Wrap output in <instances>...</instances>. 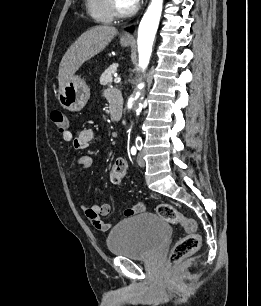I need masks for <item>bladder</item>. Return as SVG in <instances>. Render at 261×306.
Returning a JSON list of instances; mask_svg holds the SVG:
<instances>
[{
	"instance_id": "bladder-1",
	"label": "bladder",
	"mask_w": 261,
	"mask_h": 306,
	"mask_svg": "<svg viewBox=\"0 0 261 306\" xmlns=\"http://www.w3.org/2000/svg\"><path fill=\"white\" fill-rule=\"evenodd\" d=\"M170 235L169 224L158 214L142 213L116 225L106 243L114 256L143 260L150 258Z\"/></svg>"
}]
</instances>
